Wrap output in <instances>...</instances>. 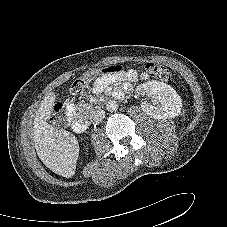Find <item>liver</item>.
<instances>
[{
	"label": "liver",
	"instance_id": "obj_1",
	"mask_svg": "<svg viewBox=\"0 0 227 227\" xmlns=\"http://www.w3.org/2000/svg\"><path fill=\"white\" fill-rule=\"evenodd\" d=\"M55 98L53 92L43 98L34 118L33 140L43 164L52 172L70 178L75 173L79 145L72 133L47 123L53 113Z\"/></svg>",
	"mask_w": 227,
	"mask_h": 227
}]
</instances>
